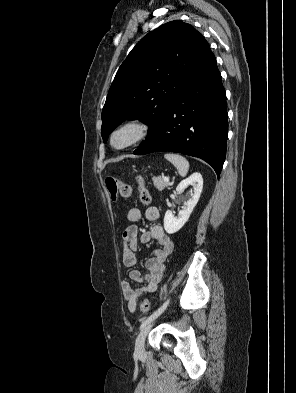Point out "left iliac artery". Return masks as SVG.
<instances>
[{
	"mask_svg": "<svg viewBox=\"0 0 296 393\" xmlns=\"http://www.w3.org/2000/svg\"><path fill=\"white\" fill-rule=\"evenodd\" d=\"M169 299L158 309L156 310L152 315H150L146 320H144L141 324L140 329L145 327L147 324H149L152 320H154L156 317H158L167 307L169 304Z\"/></svg>",
	"mask_w": 296,
	"mask_h": 393,
	"instance_id": "44dca946",
	"label": "left iliac artery"
}]
</instances>
